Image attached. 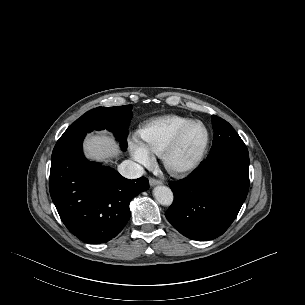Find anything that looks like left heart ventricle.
Returning a JSON list of instances; mask_svg holds the SVG:
<instances>
[{
  "instance_id": "1",
  "label": "left heart ventricle",
  "mask_w": 305,
  "mask_h": 305,
  "mask_svg": "<svg viewBox=\"0 0 305 305\" xmlns=\"http://www.w3.org/2000/svg\"><path fill=\"white\" fill-rule=\"evenodd\" d=\"M206 133L201 125L193 126L186 134L183 143L176 154L175 161L186 163L192 160L201 150Z\"/></svg>"
}]
</instances>
